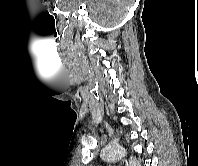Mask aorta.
Listing matches in <instances>:
<instances>
[{"mask_svg":"<svg viewBox=\"0 0 198 166\" xmlns=\"http://www.w3.org/2000/svg\"><path fill=\"white\" fill-rule=\"evenodd\" d=\"M126 150L119 145L106 146L101 152L104 161H117L126 156ZM129 166H141V163L134 157H130Z\"/></svg>","mask_w":198,"mask_h":166,"instance_id":"1","label":"aorta"}]
</instances>
